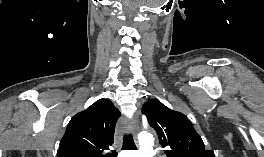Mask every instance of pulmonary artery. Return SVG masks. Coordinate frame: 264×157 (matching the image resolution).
I'll return each mask as SVG.
<instances>
[{"label":"pulmonary artery","instance_id":"e3ab8cb5","mask_svg":"<svg viewBox=\"0 0 264 157\" xmlns=\"http://www.w3.org/2000/svg\"><path fill=\"white\" fill-rule=\"evenodd\" d=\"M126 154H129V155H135V156H138V157H152L151 153L149 151H139L137 153H126Z\"/></svg>","mask_w":264,"mask_h":157}]
</instances>
